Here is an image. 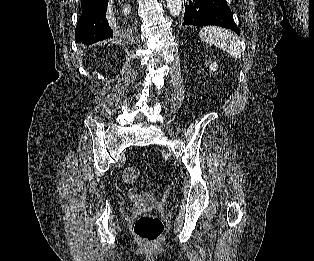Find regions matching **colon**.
Segmentation results:
<instances>
[{"label":"colon","mask_w":314,"mask_h":261,"mask_svg":"<svg viewBox=\"0 0 314 261\" xmlns=\"http://www.w3.org/2000/svg\"><path fill=\"white\" fill-rule=\"evenodd\" d=\"M140 177L137 167H127L123 172V180L126 183H134ZM135 234L147 243L156 242L164 232V224L160 218L154 215H142L134 224Z\"/></svg>","instance_id":"1"}]
</instances>
